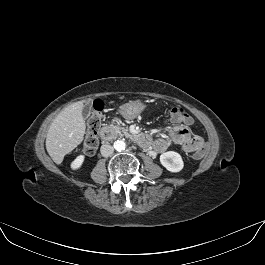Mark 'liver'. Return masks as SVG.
I'll return each instance as SVG.
<instances>
[{"label":"liver","instance_id":"6515ba94","mask_svg":"<svg viewBox=\"0 0 265 265\" xmlns=\"http://www.w3.org/2000/svg\"><path fill=\"white\" fill-rule=\"evenodd\" d=\"M83 101L66 107L52 121L46 136V149L56 164H61L64 156L73 151L85 134L82 116Z\"/></svg>","mask_w":265,"mask_h":265}]
</instances>
